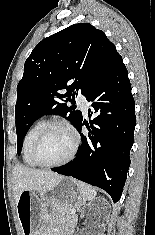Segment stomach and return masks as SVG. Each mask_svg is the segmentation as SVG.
Instances as JSON below:
<instances>
[{
  "label": "stomach",
  "instance_id": "stomach-1",
  "mask_svg": "<svg viewBox=\"0 0 155 235\" xmlns=\"http://www.w3.org/2000/svg\"><path fill=\"white\" fill-rule=\"evenodd\" d=\"M84 202L85 198L78 182L70 177H62L48 191H23L16 202L22 235H46L42 228L46 206H51L54 210H71L81 207Z\"/></svg>",
  "mask_w": 155,
  "mask_h": 235
}]
</instances>
